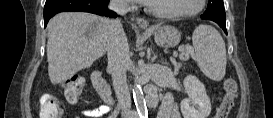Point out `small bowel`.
Returning a JSON list of instances; mask_svg holds the SVG:
<instances>
[{
  "label": "small bowel",
  "instance_id": "1",
  "mask_svg": "<svg viewBox=\"0 0 273 118\" xmlns=\"http://www.w3.org/2000/svg\"><path fill=\"white\" fill-rule=\"evenodd\" d=\"M109 111L107 107L100 106L97 108L85 110L83 113L88 117H100L106 114ZM158 118H180V113L174 102L173 95L170 92H167L158 113Z\"/></svg>",
  "mask_w": 273,
  "mask_h": 118
}]
</instances>
